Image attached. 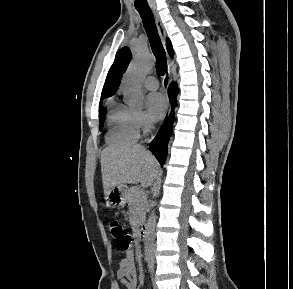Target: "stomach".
<instances>
[{
    "instance_id": "obj_1",
    "label": "stomach",
    "mask_w": 293,
    "mask_h": 289,
    "mask_svg": "<svg viewBox=\"0 0 293 289\" xmlns=\"http://www.w3.org/2000/svg\"><path fill=\"white\" fill-rule=\"evenodd\" d=\"M128 188L124 184L115 186L105 195L106 206L112 208H123L127 201Z\"/></svg>"
}]
</instances>
